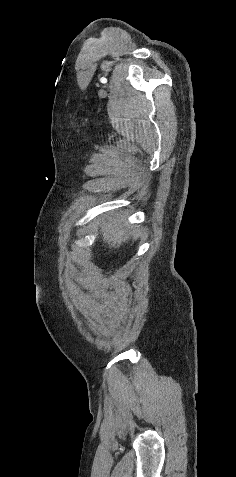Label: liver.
I'll list each match as a JSON object with an SVG mask.
<instances>
[{
  "instance_id": "6515ba94",
  "label": "liver",
  "mask_w": 236,
  "mask_h": 477,
  "mask_svg": "<svg viewBox=\"0 0 236 477\" xmlns=\"http://www.w3.org/2000/svg\"><path fill=\"white\" fill-rule=\"evenodd\" d=\"M103 240L109 244V247L117 248L129 239L126 228L120 221H115L111 217L107 218L106 226L103 228Z\"/></svg>"
}]
</instances>
